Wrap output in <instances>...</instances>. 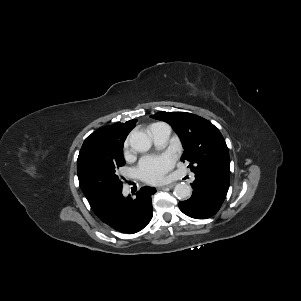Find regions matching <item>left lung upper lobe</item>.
<instances>
[{
  "mask_svg": "<svg viewBox=\"0 0 301 301\" xmlns=\"http://www.w3.org/2000/svg\"><path fill=\"white\" fill-rule=\"evenodd\" d=\"M151 117L173 127L184 148L181 160L188 161L195 174L230 180L228 148L222 134L211 122L186 112L162 111Z\"/></svg>",
  "mask_w": 301,
  "mask_h": 301,
  "instance_id": "left-lung-upper-lobe-1",
  "label": "left lung upper lobe"
}]
</instances>
